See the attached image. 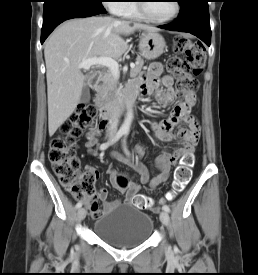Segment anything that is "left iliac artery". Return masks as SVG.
<instances>
[{"label": "left iliac artery", "mask_w": 258, "mask_h": 275, "mask_svg": "<svg viewBox=\"0 0 258 275\" xmlns=\"http://www.w3.org/2000/svg\"><path fill=\"white\" fill-rule=\"evenodd\" d=\"M127 136V132L125 133V137ZM124 137L123 139V147H124V151L126 153V155L130 156V152L128 151L127 147H126V138ZM163 210L166 212H170V208L168 205H164L163 206Z\"/></svg>", "instance_id": "obj_1"}]
</instances>
